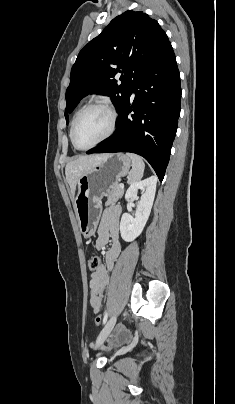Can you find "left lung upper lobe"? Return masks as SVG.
<instances>
[{"instance_id":"1","label":"left lung upper lobe","mask_w":235,"mask_h":404,"mask_svg":"<svg viewBox=\"0 0 235 404\" xmlns=\"http://www.w3.org/2000/svg\"><path fill=\"white\" fill-rule=\"evenodd\" d=\"M158 22L146 13L126 11L79 52L66 91L65 118L88 94L107 95L119 112L138 76L169 44ZM120 75L121 84L115 76Z\"/></svg>"}]
</instances>
